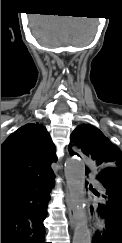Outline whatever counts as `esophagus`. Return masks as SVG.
Listing matches in <instances>:
<instances>
[{"mask_svg":"<svg viewBox=\"0 0 122 243\" xmlns=\"http://www.w3.org/2000/svg\"><path fill=\"white\" fill-rule=\"evenodd\" d=\"M66 204H67V207H68L70 224H71L72 227H74V225L76 223L75 208H74L72 199H71V197L68 193L66 195Z\"/></svg>","mask_w":122,"mask_h":243,"instance_id":"34e87169","label":"esophagus"}]
</instances>
